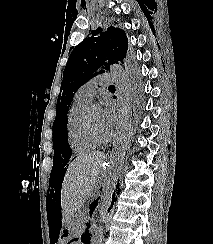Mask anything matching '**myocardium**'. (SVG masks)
Returning <instances> with one entry per match:
<instances>
[{
  "mask_svg": "<svg viewBox=\"0 0 213 244\" xmlns=\"http://www.w3.org/2000/svg\"><path fill=\"white\" fill-rule=\"evenodd\" d=\"M85 123H86V129L87 132L89 134V136L98 144H105L111 141L113 135L112 133H109L108 136L105 137H101L100 135H98V133L95 131L90 118H89V111L86 112V116H85Z\"/></svg>",
  "mask_w": 213,
  "mask_h": 244,
  "instance_id": "f54148a6",
  "label": "myocardium"
}]
</instances>
